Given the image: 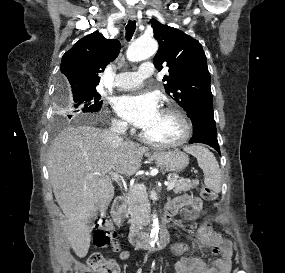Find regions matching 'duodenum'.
<instances>
[{
  "label": "duodenum",
  "mask_w": 285,
  "mask_h": 273,
  "mask_svg": "<svg viewBox=\"0 0 285 273\" xmlns=\"http://www.w3.org/2000/svg\"><path fill=\"white\" fill-rule=\"evenodd\" d=\"M125 210H126V199L124 196L120 195L116 197L114 201L113 205L114 219L119 221L124 216ZM172 217L173 213L166 211L163 219L164 226L158 236V242H157L158 247H164L168 242L169 229L167 225L171 221ZM128 240L131 245L144 249L148 247L149 235L146 232L138 230V228H133L128 234Z\"/></svg>",
  "instance_id": "duodenum-1"
}]
</instances>
